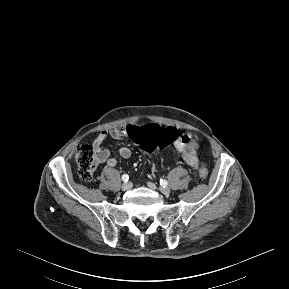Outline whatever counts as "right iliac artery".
<instances>
[{"mask_svg": "<svg viewBox=\"0 0 289 289\" xmlns=\"http://www.w3.org/2000/svg\"><path fill=\"white\" fill-rule=\"evenodd\" d=\"M122 180L127 182L129 180V176L127 174L122 175Z\"/></svg>", "mask_w": 289, "mask_h": 289, "instance_id": "obj_1", "label": "right iliac artery"}]
</instances>
